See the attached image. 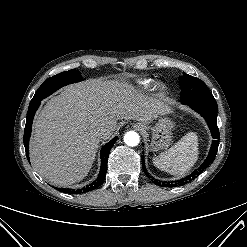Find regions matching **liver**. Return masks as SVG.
I'll return each mask as SVG.
<instances>
[{
	"mask_svg": "<svg viewBox=\"0 0 247 247\" xmlns=\"http://www.w3.org/2000/svg\"><path fill=\"white\" fill-rule=\"evenodd\" d=\"M171 112L166 102L138 92L127 82L90 79L52 97L34 125L30 158L35 171L56 186L68 187L87 176L101 140L118 119L152 122ZM108 131L98 137L94 129Z\"/></svg>",
	"mask_w": 247,
	"mask_h": 247,
	"instance_id": "liver-1",
	"label": "liver"
}]
</instances>
